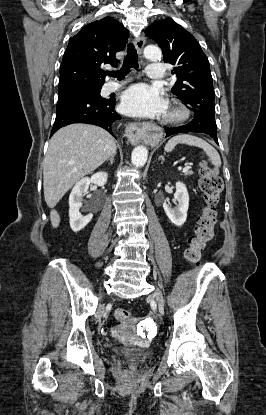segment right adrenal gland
<instances>
[{"label": "right adrenal gland", "mask_w": 266, "mask_h": 415, "mask_svg": "<svg viewBox=\"0 0 266 415\" xmlns=\"http://www.w3.org/2000/svg\"><path fill=\"white\" fill-rule=\"evenodd\" d=\"M114 157H115V154L113 156H111L109 159H107L106 162L110 161V164L112 165L113 161H114Z\"/></svg>", "instance_id": "obj_1"}]
</instances>
